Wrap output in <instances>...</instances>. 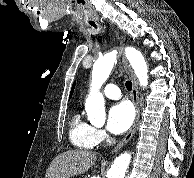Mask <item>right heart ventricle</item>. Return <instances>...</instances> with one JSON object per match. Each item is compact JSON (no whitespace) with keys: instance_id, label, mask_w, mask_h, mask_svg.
I'll list each match as a JSON object with an SVG mask.
<instances>
[{"instance_id":"1","label":"right heart ventricle","mask_w":194,"mask_h":178,"mask_svg":"<svg viewBox=\"0 0 194 178\" xmlns=\"http://www.w3.org/2000/svg\"><path fill=\"white\" fill-rule=\"evenodd\" d=\"M93 127L86 122L77 111L72 116L69 128V139L78 148L91 149L96 144L93 141Z\"/></svg>"}]
</instances>
